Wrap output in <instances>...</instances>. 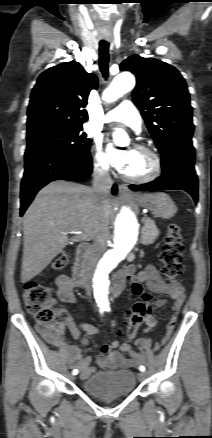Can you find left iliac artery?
<instances>
[{
	"mask_svg": "<svg viewBox=\"0 0 212 438\" xmlns=\"http://www.w3.org/2000/svg\"><path fill=\"white\" fill-rule=\"evenodd\" d=\"M105 311H110V308H106ZM139 370L142 371V372H144V371H145V367H144L143 365H141V366L139 367Z\"/></svg>",
	"mask_w": 212,
	"mask_h": 438,
	"instance_id": "1",
	"label": "left iliac artery"
}]
</instances>
